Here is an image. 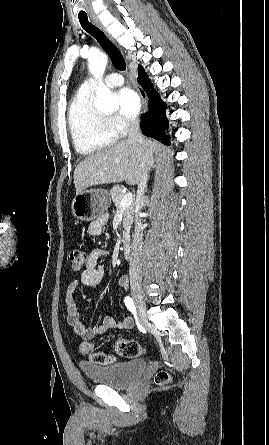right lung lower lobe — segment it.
<instances>
[{
	"instance_id": "98d812e1",
	"label": "right lung lower lobe",
	"mask_w": 269,
	"mask_h": 445,
	"mask_svg": "<svg viewBox=\"0 0 269 445\" xmlns=\"http://www.w3.org/2000/svg\"><path fill=\"white\" fill-rule=\"evenodd\" d=\"M137 81L145 90L149 102L148 113L142 115L141 130L144 135L160 140L164 144H170V137L165 134L168 129V120L165 115L166 104L160 99V95L154 90L153 84L147 78V74L141 66L138 68Z\"/></svg>"
}]
</instances>
